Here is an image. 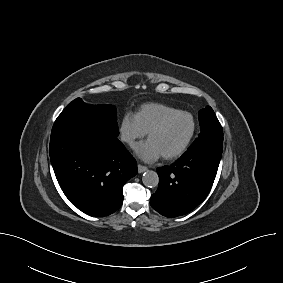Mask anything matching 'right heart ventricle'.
<instances>
[{"label":"right heart ventricle","mask_w":283,"mask_h":283,"mask_svg":"<svg viewBox=\"0 0 283 283\" xmlns=\"http://www.w3.org/2000/svg\"><path fill=\"white\" fill-rule=\"evenodd\" d=\"M174 111L177 109L165 104L147 103L139 108L136 115L143 129L148 132L161 118Z\"/></svg>","instance_id":"e07e8e85"}]
</instances>
